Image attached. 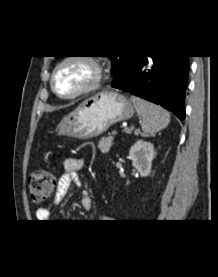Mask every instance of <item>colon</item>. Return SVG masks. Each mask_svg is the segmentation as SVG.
Here are the masks:
<instances>
[{
	"label": "colon",
	"instance_id": "colon-1",
	"mask_svg": "<svg viewBox=\"0 0 218 277\" xmlns=\"http://www.w3.org/2000/svg\"><path fill=\"white\" fill-rule=\"evenodd\" d=\"M55 187V177L47 170L34 171L29 177L30 196L34 202L50 197Z\"/></svg>",
	"mask_w": 218,
	"mask_h": 277
}]
</instances>
